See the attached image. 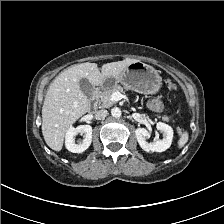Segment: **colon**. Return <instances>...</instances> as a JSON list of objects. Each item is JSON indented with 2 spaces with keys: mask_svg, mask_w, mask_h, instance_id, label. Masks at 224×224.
<instances>
[{
  "mask_svg": "<svg viewBox=\"0 0 224 224\" xmlns=\"http://www.w3.org/2000/svg\"><path fill=\"white\" fill-rule=\"evenodd\" d=\"M167 85L169 86L170 89H175V86L173 85V83L170 80H166Z\"/></svg>",
  "mask_w": 224,
  "mask_h": 224,
  "instance_id": "colon-1",
  "label": "colon"
}]
</instances>
